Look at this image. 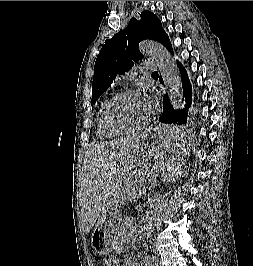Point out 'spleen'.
Instances as JSON below:
<instances>
[{"instance_id": "1", "label": "spleen", "mask_w": 253, "mask_h": 266, "mask_svg": "<svg viewBox=\"0 0 253 266\" xmlns=\"http://www.w3.org/2000/svg\"><path fill=\"white\" fill-rule=\"evenodd\" d=\"M173 132H186V123H173ZM166 151L156 165L151 166L152 174H162V180L170 182L174 179L177 169L186 168V154L192 153V146L189 138H166Z\"/></svg>"}]
</instances>
